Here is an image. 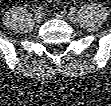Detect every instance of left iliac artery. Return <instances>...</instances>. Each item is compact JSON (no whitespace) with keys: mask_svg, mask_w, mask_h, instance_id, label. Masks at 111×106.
<instances>
[{"mask_svg":"<svg viewBox=\"0 0 111 106\" xmlns=\"http://www.w3.org/2000/svg\"><path fill=\"white\" fill-rule=\"evenodd\" d=\"M70 12H71V13H75V12H76V8H75V7H71V8H70Z\"/></svg>","mask_w":111,"mask_h":106,"instance_id":"1","label":"left iliac artery"}]
</instances>
